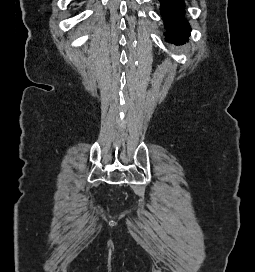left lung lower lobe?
I'll use <instances>...</instances> for the list:
<instances>
[{
  "instance_id": "obj_1",
  "label": "left lung lower lobe",
  "mask_w": 255,
  "mask_h": 272,
  "mask_svg": "<svg viewBox=\"0 0 255 272\" xmlns=\"http://www.w3.org/2000/svg\"><path fill=\"white\" fill-rule=\"evenodd\" d=\"M161 13L168 32L165 34L167 41L183 43L190 34L188 22L184 19L185 3L183 0H159Z\"/></svg>"
}]
</instances>
